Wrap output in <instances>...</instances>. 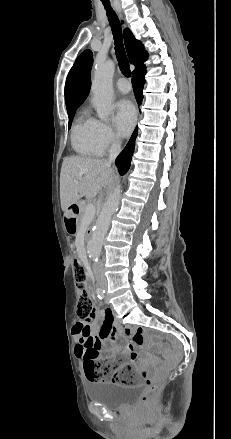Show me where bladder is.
Wrapping results in <instances>:
<instances>
[{
  "instance_id": "1",
  "label": "bladder",
  "mask_w": 231,
  "mask_h": 439,
  "mask_svg": "<svg viewBox=\"0 0 231 439\" xmlns=\"http://www.w3.org/2000/svg\"><path fill=\"white\" fill-rule=\"evenodd\" d=\"M141 392L138 384L117 385L107 381H94L87 387L88 398L108 409H118L136 400Z\"/></svg>"
}]
</instances>
